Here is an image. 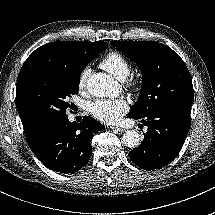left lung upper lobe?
I'll use <instances>...</instances> for the list:
<instances>
[{"mask_svg":"<svg viewBox=\"0 0 215 215\" xmlns=\"http://www.w3.org/2000/svg\"><path fill=\"white\" fill-rule=\"evenodd\" d=\"M110 44L139 67L143 84L128 117L145 118L166 107L192 104L191 75L181 57L168 46L153 41H111Z\"/></svg>","mask_w":215,"mask_h":215,"instance_id":"obj_1","label":"left lung upper lobe"}]
</instances>
